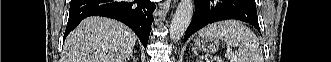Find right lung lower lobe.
<instances>
[{
	"instance_id": "right-lung-lower-lobe-1",
	"label": "right lung lower lobe",
	"mask_w": 331,
	"mask_h": 62,
	"mask_svg": "<svg viewBox=\"0 0 331 62\" xmlns=\"http://www.w3.org/2000/svg\"><path fill=\"white\" fill-rule=\"evenodd\" d=\"M154 9L150 0H72L64 39L84 18L99 15L129 26L146 48Z\"/></svg>"
}]
</instances>
